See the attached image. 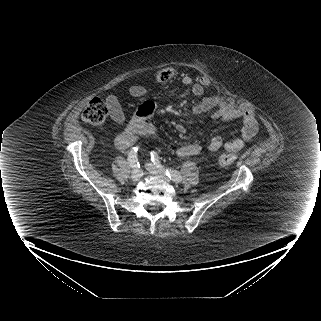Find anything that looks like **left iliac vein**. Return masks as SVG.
<instances>
[{
	"mask_svg": "<svg viewBox=\"0 0 321 321\" xmlns=\"http://www.w3.org/2000/svg\"><path fill=\"white\" fill-rule=\"evenodd\" d=\"M145 167L152 174L158 176L159 178L165 180L166 182H170V179L168 178V176L164 172H162L161 170L157 169V167L155 165H153L152 163H146Z\"/></svg>",
	"mask_w": 321,
	"mask_h": 321,
	"instance_id": "obj_1",
	"label": "left iliac vein"
}]
</instances>
